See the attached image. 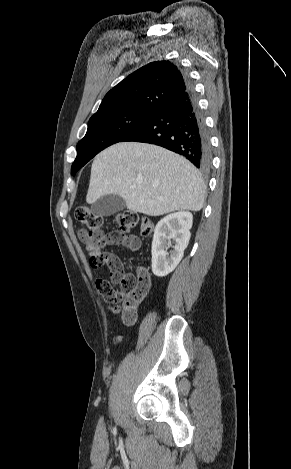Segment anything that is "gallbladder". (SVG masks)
<instances>
[{
  "instance_id": "1",
  "label": "gallbladder",
  "mask_w": 291,
  "mask_h": 469,
  "mask_svg": "<svg viewBox=\"0 0 291 469\" xmlns=\"http://www.w3.org/2000/svg\"><path fill=\"white\" fill-rule=\"evenodd\" d=\"M125 207L126 202L122 197L116 194H108L98 198L91 205V210L94 214L99 216H111L124 210Z\"/></svg>"
}]
</instances>
